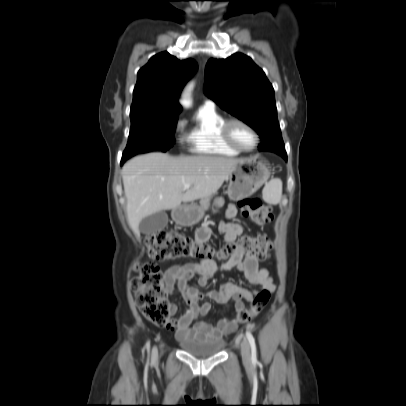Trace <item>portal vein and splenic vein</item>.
<instances>
[{"mask_svg":"<svg viewBox=\"0 0 406 406\" xmlns=\"http://www.w3.org/2000/svg\"><path fill=\"white\" fill-rule=\"evenodd\" d=\"M190 187H191L190 184H185L184 187H183V190H188Z\"/></svg>","mask_w":406,"mask_h":406,"instance_id":"1","label":"portal vein and splenic vein"}]
</instances>
